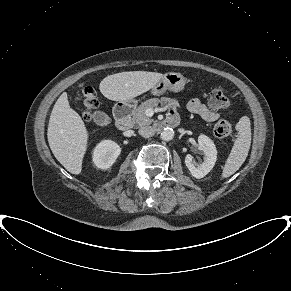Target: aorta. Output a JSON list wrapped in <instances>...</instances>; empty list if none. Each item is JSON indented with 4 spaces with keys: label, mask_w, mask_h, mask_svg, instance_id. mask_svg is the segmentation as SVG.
I'll use <instances>...</instances> for the list:
<instances>
[{
    "label": "aorta",
    "mask_w": 291,
    "mask_h": 291,
    "mask_svg": "<svg viewBox=\"0 0 291 291\" xmlns=\"http://www.w3.org/2000/svg\"><path fill=\"white\" fill-rule=\"evenodd\" d=\"M160 136L162 140L170 141L174 138V131L172 128H164Z\"/></svg>",
    "instance_id": "aorta-1"
}]
</instances>
